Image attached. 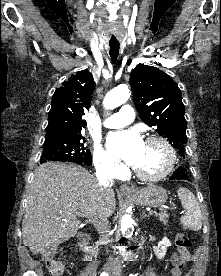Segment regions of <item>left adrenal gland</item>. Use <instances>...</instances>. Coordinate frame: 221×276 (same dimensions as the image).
<instances>
[{"label": "left adrenal gland", "mask_w": 221, "mask_h": 276, "mask_svg": "<svg viewBox=\"0 0 221 276\" xmlns=\"http://www.w3.org/2000/svg\"><path fill=\"white\" fill-rule=\"evenodd\" d=\"M145 217H147V215L145 214V211L143 210L140 219L142 220V219H144Z\"/></svg>", "instance_id": "a2214340"}]
</instances>
